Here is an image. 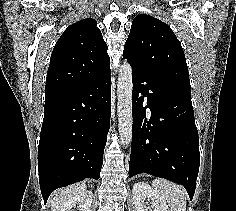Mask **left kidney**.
<instances>
[{"instance_id": "5707ae66", "label": "left kidney", "mask_w": 236, "mask_h": 211, "mask_svg": "<svg viewBox=\"0 0 236 211\" xmlns=\"http://www.w3.org/2000/svg\"><path fill=\"white\" fill-rule=\"evenodd\" d=\"M132 195L136 211H147L146 198L153 205V211H170L166 201L144 182L134 184Z\"/></svg>"}]
</instances>
